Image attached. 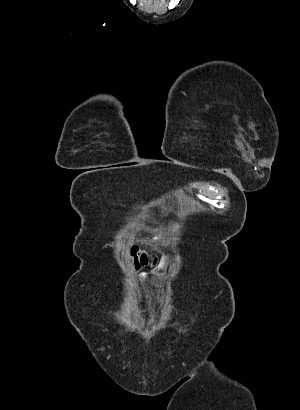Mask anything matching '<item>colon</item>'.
<instances>
[{"label": "colon", "mask_w": 300, "mask_h": 410, "mask_svg": "<svg viewBox=\"0 0 300 410\" xmlns=\"http://www.w3.org/2000/svg\"><path fill=\"white\" fill-rule=\"evenodd\" d=\"M130 256L133 259L135 266H146L151 262V259L146 253L140 250L133 249L130 252Z\"/></svg>", "instance_id": "5ec220e1"}]
</instances>
